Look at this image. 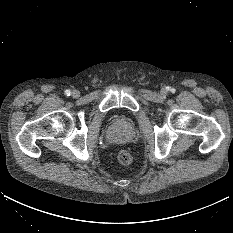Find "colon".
Masks as SVG:
<instances>
[{
  "mask_svg": "<svg viewBox=\"0 0 233 233\" xmlns=\"http://www.w3.org/2000/svg\"><path fill=\"white\" fill-rule=\"evenodd\" d=\"M117 160L120 164L128 165L132 161V156L129 151L121 150L117 154Z\"/></svg>",
  "mask_w": 233,
  "mask_h": 233,
  "instance_id": "5ec220e1",
  "label": "colon"
}]
</instances>
